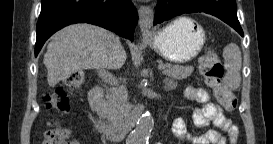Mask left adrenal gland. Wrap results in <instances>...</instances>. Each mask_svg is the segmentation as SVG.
Segmentation results:
<instances>
[{"label": "left adrenal gland", "mask_w": 273, "mask_h": 144, "mask_svg": "<svg viewBox=\"0 0 273 144\" xmlns=\"http://www.w3.org/2000/svg\"><path fill=\"white\" fill-rule=\"evenodd\" d=\"M164 84H165L164 89L167 91L174 89L176 86V83L170 79H165Z\"/></svg>", "instance_id": "a2214340"}]
</instances>
